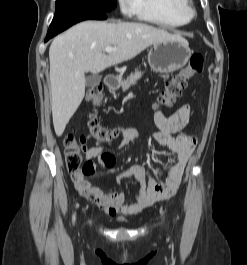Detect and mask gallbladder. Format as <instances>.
Returning <instances> with one entry per match:
<instances>
[{"mask_svg":"<svg viewBox=\"0 0 247 265\" xmlns=\"http://www.w3.org/2000/svg\"><path fill=\"white\" fill-rule=\"evenodd\" d=\"M101 76L100 75H91L86 78V86L91 88L96 86L101 82Z\"/></svg>","mask_w":247,"mask_h":265,"instance_id":"bac80fb5","label":"gallbladder"}]
</instances>
